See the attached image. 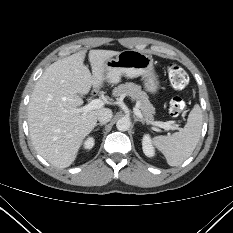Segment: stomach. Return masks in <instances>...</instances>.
<instances>
[{"label":"stomach","mask_w":233,"mask_h":233,"mask_svg":"<svg viewBox=\"0 0 233 233\" xmlns=\"http://www.w3.org/2000/svg\"><path fill=\"white\" fill-rule=\"evenodd\" d=\"M129 78L142 76L145 89L155 93L159 87V80L154 72L153 59L137 50H124L116 58H110L105 63V77L109 83L117 84L121 76Z\"/></svg>","instance_id":"1"}]
</instances>
